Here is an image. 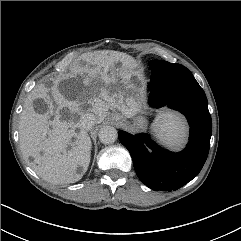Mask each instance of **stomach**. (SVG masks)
<instances>
[{
    "label": "stomach",
    "mask_w": 241,
    "mask_h": 241,
    "mask_svg": "<svg viewBox=\"0 0 241 241\" xmlns=\"http://www.w3.org/2000/svg\"><path fill=\"white\" fill-rule=\"evenodd\" d=\"M118 68L120 66H117ZM126 79L122 78V80L120 81V77H117V81L115 84H112L111 86V90L109 91V94H113V93H117L118 91H123V84L126 83ZM141 112V108L139 113ZM121 119L123 120V122L125 124H130L131 126H133L134 128H142L145 124V120L141 115H138L137 117H133L132 121H129L127 119V117H125L124 115H121Z\"/></svg>",
    "instance_id": "obj_1"
}]
</instances>
